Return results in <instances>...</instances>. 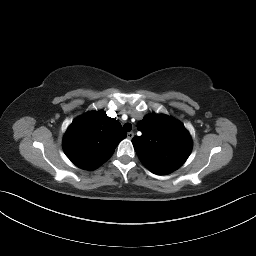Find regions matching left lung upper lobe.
<instances>
[{
  "label": "left lung upper lobe",
  "instance_id": "obj_1",
  "mask_svg": "<svg viewBox=\"0 0 256 256\" xmlns=\"http://www.w3.org/2000/svg\"><path fill=\"white\" fill-rule=\"evenodd\" d=\"M132 139L140 161L154 174H169L179 168L192 150L191 136L177 120L161 114L146 115Z\"/></svg>",
  "mask_w": 256,
  "mask_h": 256
}]
</instances>
